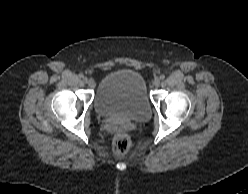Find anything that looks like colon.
I'll use <instances>...</instances> for the list:
<instances>
[{
  "label": "colon",
  "instance_id": "5ec220e1",
  "mask_svg": "<svg viewBox=\"0 0 248 194\" xmlns=\"http://www.w3.org/2000/svg\"><path fill=\"white\" fill-rule=\"evenodd\" d=\"M112 147L116 155L123 156L131 150L132 143L126 134L120 133L114 137Z\"/></svg>",
  "mask_w": 248,
  "mask_h": 194
}]
</instances>
